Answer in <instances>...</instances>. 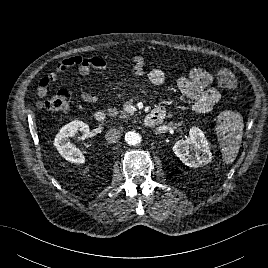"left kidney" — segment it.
Listing matches in <instances>:
<instances>
[{
    "label": "left kidney",
    "mask_w": 268,
    "mask_h": 268,
    "mask_svg": "<svg viewBox=\"0 0 268 268\" xmlns=\"http://www.w3.org/2000/svg\"><path fill=\"white\" fill-rule=\"evenodd\" d=\"M189 138L177 141L173 146L175 155L188 167L206 165L212 160L209 143L198 127H192Z\"/></svg>",
    "instance_id": "1"
}]
</instances>
